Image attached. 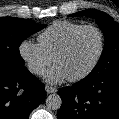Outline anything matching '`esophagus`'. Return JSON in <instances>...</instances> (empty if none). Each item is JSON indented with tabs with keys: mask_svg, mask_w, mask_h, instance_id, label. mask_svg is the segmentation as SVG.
<instances>
[{
	"mask_svg": "<svg viewBox=\"0 0 119 119\" xmlns=\"http://www.w3.org/2000/svg\"><path fill=\"white\" fill-rule=\"evenodd\" d=\"M45 90H46L47 93L57 92V89L55 87H52V86H49V85H46Z\"/></svg>",
	"mask_w": 119,
	"mask_h": 119,
	"instance_id": "esophagus-1",
	"label": "esophagus"
}]
</instances>
